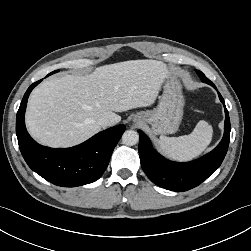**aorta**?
<instances>
[{
	"instance_id": "1",
	"label": "aorta",
	"mask_w": 251,
	"mask_h": 251,
	"mask_svg": "<svg viewBox=\"0 0 251 251\" xmlns=\"http://www.w3.org/2000/svg\"><path fill=\"white\" fill-rule=\"evenodd\" d=\"M122 141L125 145L133 146L139 141V134L134 130H127L122 135Z\"/></svg>"
}]
</instances>
